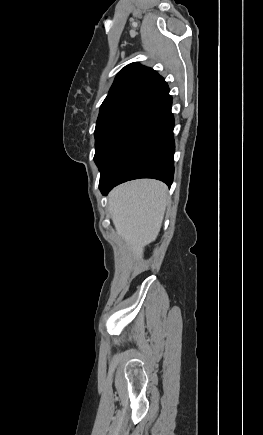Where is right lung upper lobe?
Instances as JSON below:
<instances>
[{
	"label": "right lung upper lobe",
	"mask_w": 263,
	"mask_h": 435,
	"mask_svg": "<svg viewBox=\"0 0 263 435\" xmlns=\"http://www.w3.org/2000/svg\"><path fill=\"white\" fill-rule=\"evenodd\" d=\"M167 88L156 71L137 62L131 63L117 74L101 107L123 103L145 105Z\"/></svg>",
	"instance_id": "cb5924a9"
}]
</instances>
